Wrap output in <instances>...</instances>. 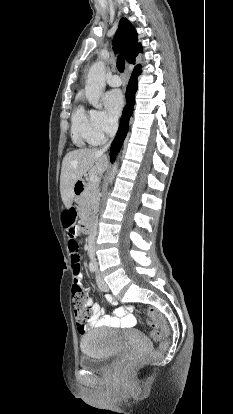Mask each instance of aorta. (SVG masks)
<instances>
[{
    "mask_svg": "<svg viewBox=\"0 0 233 414\" xmlns=\"http://www.w3.org/2000/svg\"><path fill=\"white\" fill-rule=\"evenodd\" d=\"M106 68L103 61H96L89 69L86 84L85 95L88 102L94 107H99V99L105 87ZM118 163L115 162L109 177L110 183L114 180L117 172Z\"/></svg>",
    "mask_w": 233,
    "mask_h": 414,
    "instance_id": "1",
    "label": "aorta"
}]
</instances>
